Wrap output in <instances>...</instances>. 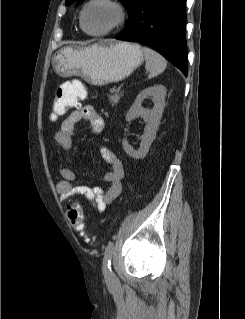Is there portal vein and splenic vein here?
<instances>
[{
	"label": "portal vein and splenic vein",
	"mask_w": 245,
	"mask_h": 319,
	"mask_svg": "<svg viewBox=\"0 0 245 319\" xmlns=\"http://www.w3.org/2000/svg\"><path fill=\"white\" fill-rule=\"evenodd\" d=\"M116 91L118 92V91H119V88H117Z\"/></svg>",
	"instance_id": "portal-vein-and-splenic-vein-1"
}]
</instances>
